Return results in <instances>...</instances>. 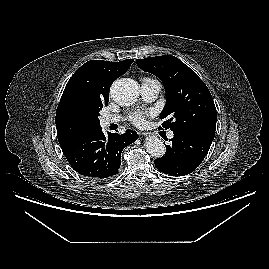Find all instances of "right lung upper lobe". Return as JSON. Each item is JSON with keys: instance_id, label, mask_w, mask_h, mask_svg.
I'll return each mask as SVG.
<instances>
[{"instance_id": "1", "label": "right lung upper lobe", "mask_w": 269, "mask_h": 269, "mask_svg": "<svg viewBox=\"0 0 269 269\" xmlns=\"http://www.w3.org/2000/svg\"><path fill=\"white\" fill-rule=\"evenodd\" d=\"M133 61L91 60L73 74L56 111L55 123L59 143L98 128L84 118L82 105L89 101H108L111 84L129 69Z\"/></svg>"}]
</instances>
